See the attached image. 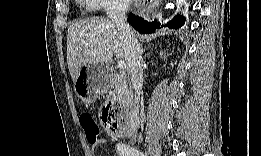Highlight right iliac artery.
Here are the masks:
<instances>
[{"label": "right iliac artery", "instance_id": "82829eb1", "mask_svg": "<svg viewBox=\"0 0 261 156\" xmlns=\"http://www.w3.org/2000/svg\"><path fill=\"white\" fill-rule=\"evenodd\" d=\"M117 152L122 156H143V153L127 144H117Z\"/></svg>", "mask_w": 261, "mask_h": 156}]
</instances>
